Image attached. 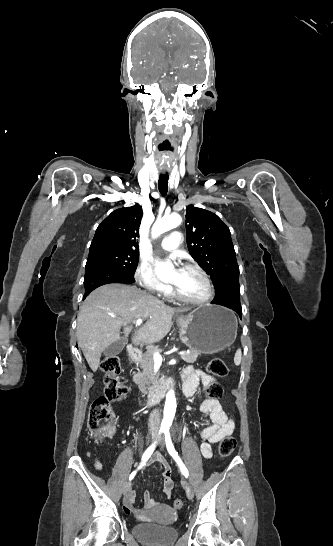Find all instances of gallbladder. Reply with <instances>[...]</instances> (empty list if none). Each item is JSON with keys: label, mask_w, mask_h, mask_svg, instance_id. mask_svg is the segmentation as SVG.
Here are the masks:
<instances>
[{"label": "gallbladder", "mask_w": 333, "mask_h": 546, "mask_svg": "<svg viewBox=\"0 0 333 546\" xmlns=\"http://www.w3.org/2000/svg\"><path fill=\"white\" fill-rule=\"evenodd\" d=\"M127 343V338L124 337L119 341L112 343L104 350V355L108 357H114L120 354Z\"/></svg>", "instance_id": "obj_1"}]
</instances>
